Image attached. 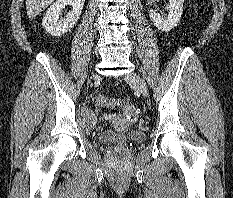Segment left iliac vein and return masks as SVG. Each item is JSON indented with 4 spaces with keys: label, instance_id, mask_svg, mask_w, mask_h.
Instances as JSON below:
<instances>
[{
    "label": "left iliac vein",
    "instance_id": "1",
    "mask_svg": "<svg viewBox=\"0 0 233 198\" xmlns=\"http://www.w3.org/2000/svg\"><path fill=\"white\" fill-rule=\"evenodd\" d=\"M126 80L138 89L144 97L148 96L147 86L144 80L135 72H130L126 76Z\"/></svg>",
    "mask_w": 233,
    "mask_h": 198
}]
</instances>
